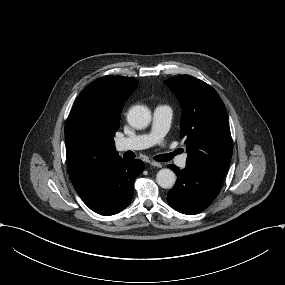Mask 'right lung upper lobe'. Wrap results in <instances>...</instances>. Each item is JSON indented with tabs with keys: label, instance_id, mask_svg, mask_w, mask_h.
<instances>
[{
	"label": "right lung upper lobe",
	"instance_id": "right-lung-upper-lobe-1",
	"mask_svg": "<svg viewBox=\"0 0 285 285\" xmlns=\"http://www.w3.org/2000/svg\"><path fill=\"white\" fill-rule=\"evenodd\" d=\"M138 81L107 75L93 81L78 97L66 125L65 143L69 175L82 198L123 158L115 149L125 100Z\"/></svg>",
	"mask_w": 285,
	"mask_h": 285
}]
</instances>
